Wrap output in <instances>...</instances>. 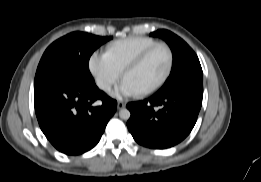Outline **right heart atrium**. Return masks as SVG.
I'll list each match as a JSON object with an SVG mask.
<instances>
[{"instance_id": "obj_1", "label": "right heart atrium", "mask_w": 261, "mask_h": 182, "mask_svg": "<svg viewBox=\"0 0 261 182\" xmlns=\"http://www.w3.org/2000/svg\"><path fill=\"white\" fill-rule=\"evenodd\" d=\"M88 67L96 85L105 92H108L121 77V72L105 53L94 52L89 58Z\"/></svg>"}]
</instances>
